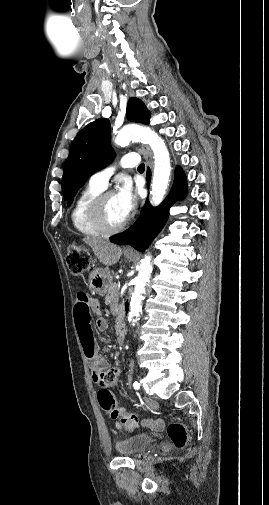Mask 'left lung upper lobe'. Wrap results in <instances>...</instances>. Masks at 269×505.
Wrapping results in <instances>:
<instances>
[{
  "label": "left lung upper lobe",
  "instance_id": "obj_1",
  "mask_svg": "<svg viewBox=\"0 0 269 505\" xmlns=\"http://www.w3.org/2000/svg\"><path fill=\"white\" fill-rule=\"evenodd\" d=\"M126 116L129 121L148 124L150 113L139 99L130 98ZM110 137L109 120L100 118L85 126L72 142L62 177L63 197L69 204L92 174L113 161Z\"/></svg>",
  "mask_w": 269,
  "mask_h": 505
}]
</instances>
